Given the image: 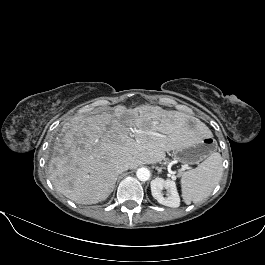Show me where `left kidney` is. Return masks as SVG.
Segmentation results:
<instances>
[{"label":"left kidney","mask_w":265,"mask_h":265,"mask_svg":"<svg viewBox=\"0 0 265 265\" xmlns=\"http://www.w3.org/2000/svg\"><path fill=\"white\" fill-rule=\"evenodd\" d=\"M163 188L168 191L166 197L162 194ZM151 192L152 196L162 205L173 208L180 206V197L177 192L176 184L173 180H164L163 178H156L152 180Z\"/></svg>","instance_id":"left-kidney-1"}]
</instances>
